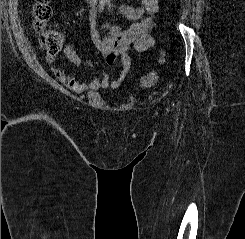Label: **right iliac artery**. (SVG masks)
<instances>
[{
  "label": "right iliac artery",
  "instance_id": "right-iliac-artery-1",
  "mask_svg": "<svg viewBox=\"0 0 245 239\" xmlns=\"http://www.w3.org/2000/svg\"><path fill=\"white\" fill-rule=\"evenodd\" d=\"M106 2H107V0H100L99 5H98L99 12H101L104 9Z\"/></svg>",
  "mask_w": 245,
  "mask_h": 239
}]
</instances>
